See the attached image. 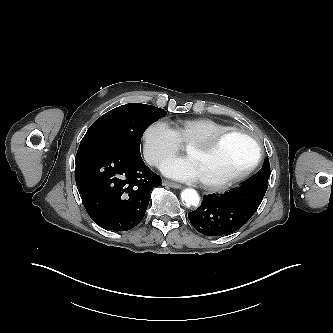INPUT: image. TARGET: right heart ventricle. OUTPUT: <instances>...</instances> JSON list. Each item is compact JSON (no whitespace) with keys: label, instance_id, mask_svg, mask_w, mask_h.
Returning <instances> with one entry per match:
<instances>
[{"label":"right heart ventricle","instance_id":"1","mask_svg":"<svg viewBox=\"0 0 333 333\" xmlns=\"http://www.w3.org/2000/svg\"><path fill=\"white\" fill-rule=\"evenodd\" d=\"M231 127L210 118L181 119L173 123V130L181 144L211 137Z\"/></svg>","mask_w":333,"mask_h":333}]
</instances>
